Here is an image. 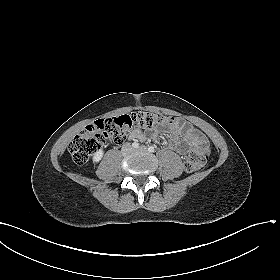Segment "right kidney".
<instances>
[{"mask_svg":"<svg viewBox=\"0 0 280 280\" xmlns=\"http://www.w3.org/2000/svg\"><path fill=\"white\" fill-rule=\"evenodd\" d=\"M103 154H104V153H103L102 150H99V151L95 152V153L93 154V158H92L93 163H98V162L102 159Z\"/></svg>","mask_w":280,"mask_h":280,"instance_id":"obj_1","label":"right kidney"}]
</instances>
